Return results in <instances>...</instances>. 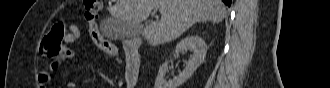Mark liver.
<instances>
[{"instance_id": "obj_1", "label": "liver", "mask_w": 330, "mask_h": 88, "mask_svg": "<svg viewBox=\"0 0 330 88\" xmlns=\"http://www.w3.org/2000/svg\"><path fill=\"white\" fill-rule=\"evenodd\" d=\"M154 7L161 10V19L140 32L150 46L178 38L199 21L220 23L226 15L221 0H117L109 10L112 18L103 25L114 21L140 24Z\"/></svg>"}]
</instances>
